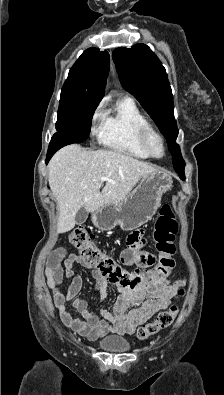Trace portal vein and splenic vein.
Here are the masks:
<instances>
[{"mask_svg": "<svg viewBox=\"0 0 224 395\" xmlns=\"http://www.w3.org/2000/svg\"><path fill=\"white\" fill-rule=\"evenodd\" d=\"M102 182L107 181L108 179L106 177H101L100 179Z\"/></svg>", "mask_w": 224, "mask_h": 395, "instance_id": "portal-vein-and-splenic-vein-1", "label": "portal vein and splenic vein"}]
</instances>
